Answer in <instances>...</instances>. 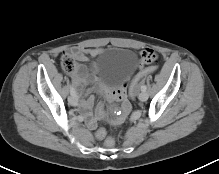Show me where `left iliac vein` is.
Here are the masks:
<instances>
[{"instance_id": "left-iliac-vein-1", "label": "left iliac vein", "mask_w": 219, "mask_h": 174, "mask_svg": "<svg viewBox=\"0 0 219 174\" xmlns=\"http://www.w3.org/2000/svg\"><path fill=\"white\" fill-rule=\"evenodd\" d=\"M138 98L140 101H146L148 98V94L145 91L139 93Z\"/></svg>"}]
</instances>
